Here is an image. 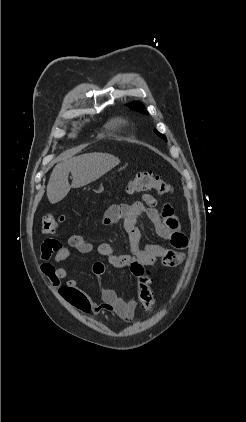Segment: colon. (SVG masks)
<instances>
[{"label":"colon","instance_id":"1","mask_svg":"<svg viewBox=\"0 0 246 422\" xmlns=\"http://www.w3.org/2000/svg\"><path fill=\"white\" fill-rule=\"evenodd\" d=\"M128 192H138L154 190L159 195H166L171 193V185L160 176L151 171L138 172L128 183ZM59 220L54 216L47 215L41 221V228L45 234H54L57 231ZM185 255L179 250H169L160 260V263L166 267H174L183 262ZM148 271L145 266L141 267L138 271V279L140 289L138 292V299L141 308L145 313L153 310L155 300L152 292L148 286L149 278Z\"/></svg>","mask_w":246,"mask_h":422}]
</instances>
